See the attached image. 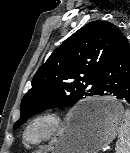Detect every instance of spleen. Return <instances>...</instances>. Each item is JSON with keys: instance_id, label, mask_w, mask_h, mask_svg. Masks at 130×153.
Masks as SVG:
<instances>
[{"instance_id": "obj_1", "label": "spleen", "mask_w": 130, "mask_h": 153, "mask_svg": "<svg viewBox=\"0 0 130 153\" xmlns=\"http://www.w3.org/2000/svg\"><path fill=\"white\" fill-rule=\"evenodd\" d=\"M116 153H130V111L124 112V121L118 128Z\"/></svg>"}]
</instances>
